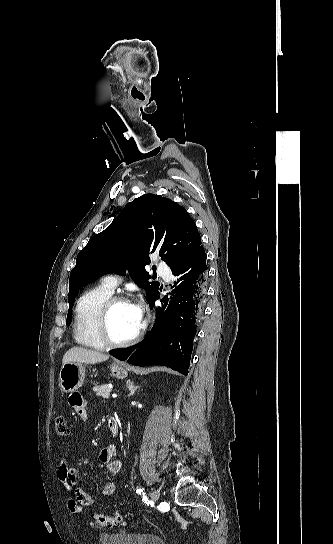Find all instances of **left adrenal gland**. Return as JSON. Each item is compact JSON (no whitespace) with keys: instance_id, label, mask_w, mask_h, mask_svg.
<instances>
[{"instance_id":"1","label":"left adrenal gland","mask_w":333,"mask_h":544,"mask_svg":"<svg viewBox=\"0 0 333 544\" xmlns=\"http://www.w3.org/2000/svg\"><path fill=\"white\" fill-rule=\"evenodd\" d=\"M126 387L129 389V397L134 395L135 391L139 388V386H134L132 381H128Z\"/></svg>"}]
</instances>
